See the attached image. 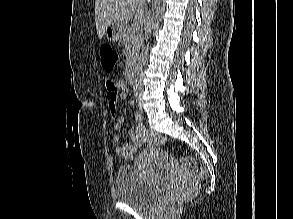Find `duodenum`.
Returning <instances> with one entry per match:
<instances>
[{"instance_id":"410a0bca","label":"duodenum","mask_w":293,"mask_h":219,"mask_svg":"<svg viewBox=\"0 0 293 219\" xmlns=\"http://www.w3.org/2000/svg\"><path fill=\"white\" fill-rule=\"evenodd\" d=\"M127 78H128V81L134 85L135 84V74H134V69L133 67H129L128 69V72H127Z\"/></svg>"}]
</instances>
